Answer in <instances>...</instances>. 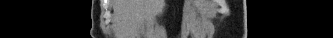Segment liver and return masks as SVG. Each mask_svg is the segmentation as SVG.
Masks as SVG:
<instances>
[{
    "label": "liver",
    "mask_w": 333,
    "mask_h": 38,
    "mask_svg": "<svg viewBox=\"0 0 333 38\" xmlns=\"http://www.w3.org/2000/svg\"><path fill=\"white\" fill-rule=\"evenodd\" d=\"M145 5H146V6H149V2H146Z\"/></svg>",
    "instance_id": "1"
}]
</instances>
